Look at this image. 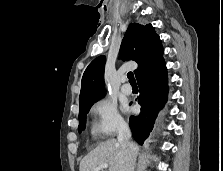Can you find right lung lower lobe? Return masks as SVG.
I'll list each match as a JSON object with an SVG mask.
<instances>
[{
  "instance_id": "98d812e1",
  "label": "right lung lower lobe",
  "mask_w": 223,
  "mask_h": 171,
  "mask_svg": "<svg viewBox=\"0 0 223 171\" xmlns=\"http://www.w3.org/2000/svg\"><path fill=\"white\" fill-rule=\"evenodd\" d=\"M162 60L155 67L141 75L138 79L140 95L137 102L141 105V113L131 116L129 125L134 139L142 145L152 131L158 112L167 100V73Z\"/></svg>"
}]
</instances>
